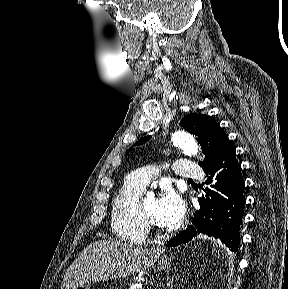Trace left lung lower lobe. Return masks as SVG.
<instances>
[{
    "label": "left lung lower lobe",
    "mask_w": 288,
    "mask_h": 289,
    "mask_svg": "<svg viewBox=\"0 0 288 289\" xmlns=\"http://www.w3.org/2000/svg\"><path fill=\"white\" fill-rule=\"evenodd\" d=\"M203 170L209 186L203 189L205 194L198 199L200 209L194 214L193 225L171 239L167 246L181 245L203 233L219 238L231 251H237L246 203L243 194L245 183L229 139L223 142L214 159Z\"/></svg>",
    "instance_id": "obj_1"
}]
</instances>
